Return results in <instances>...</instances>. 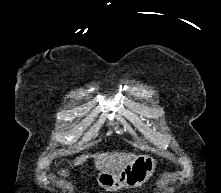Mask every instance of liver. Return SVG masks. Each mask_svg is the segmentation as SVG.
<instances>
[{"mask_svg": "<svg viewBox=\"0 0 221 193\" xmlns=\"http://www.w3.org/2000/svg\"><path fill=\"white\" fill-rule=\"evenodd\" d=\"M137 156L126 152H106L93 155L94 164L97 170L105 172H119L128 163L132 162ZM88 158V155H82L75 159V165L82 164Z\"/></svg>", "mask_w": 221, "mask_h": 193, "instance_id": "6515ba94", "label": "liver"}]
</instances>
